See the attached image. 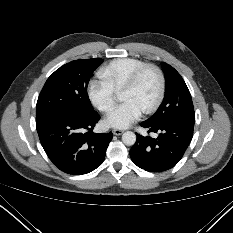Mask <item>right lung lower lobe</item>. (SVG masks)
<instances>
[{
  "mask_svg": "<svg viewBox=\"0 0 233 233\" xmlns=\"http://www.w3.org/2000/svg\"><path fill=\"white\" fill-rule=\"evenodd\" d=\"M99 119L94 111L85 115L47 116L36 121L42 147L58 169L82 175L102 164L113 134L92 132Z\"/></svg>",
  "mask_w": 233,
  "mask_h": 233,
  "instance_id": "obj_1",
  "label": "right lung lower lobe"
}]
</instances>
